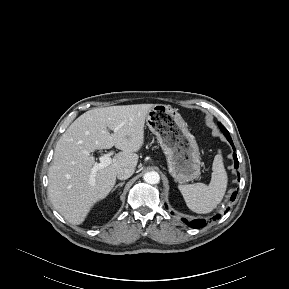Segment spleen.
<instances>
[{"label": "spleen", "mask_w": 289, "mask_h": 289, "mask_svg": "<svg viewBox=\"0 0 289 289\" xmlns=\"http://www.w3.org/2000/svg\"><path fill=\"white\" fill-rule=\"evenodd\" d=\"M212 170L209 185L196 183L178 186L186 205L193 212L200 214L211 212L225 195L228 177L220 153L214 158Z\"/></svg>", "instance_id": "1"}]
</instances>
